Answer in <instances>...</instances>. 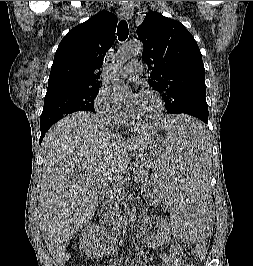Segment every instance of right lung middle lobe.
Wrapping results in <instances>:
<instances>
[{
	"label": "right lung middle lobe",
	"instance_id": "1",
	"mask_svg": "<svg viewBox=\"0 0 253 266\" xmlns=\"http://www.w3.org/2000/svg\"><path fill=\"white\" fill-rule=\"evenodd\" d=\"M99 86L63 88L47 92L40 118V129L50 128L67 114L76 111L95 113L93 102L99 92Z\"/></svg>",
	"mask_w": 253,
	"mask_h": 266
}]
</instances>
